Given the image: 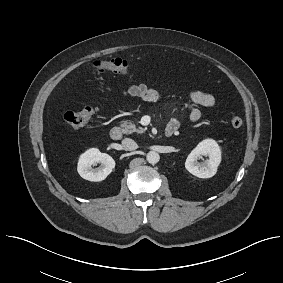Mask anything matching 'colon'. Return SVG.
I'll return each instance as SVG.
<instances>
[{"label": "colon", "instance_id": "5ec220e1", "mask_svg": "<svg viewBox=\"0 0 283 283\" xmlns=\"http://www.w3.org/2000/svg\"><path fill=\"white\" fill-rule=\"evenodd\" d=\"M98 71H112L114 73H127L131 70L130 64L121 58H114L107 61H98L95 63ZM97 112L95 105H87L75 112H67L62 117V123L72 129H79L88 124ZM231 124L234 128H240L243 125V119L239 116L231 118Z\"/></svg>", "mask_w": 283, "mask_h": 283}]
</instances>
